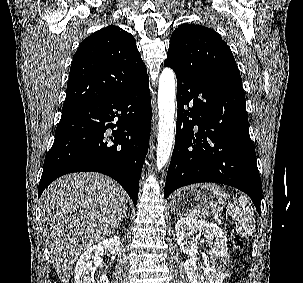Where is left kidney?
<instances>
[{
    "mask_svg": "<svg viewBox=\"0 0 303 283\" xmlns=\"http://www.w3.org/2000/svg\"><path fill=\"white\" fill-rule=\"evenodd\" d=\"M177 242L181 251L189 255L184 263L185 272L191 283H222L230 272L227 239L215 224L193 218H181L175 225ZM203 236L210 248V261L200 266L196 254L197 240Z\"/></svg>",
    "mask_w": 303,
    "mask_h": 283,
    "instance_id": "1",
    "label": "left kidney"
}]
</instances>
